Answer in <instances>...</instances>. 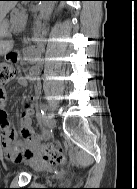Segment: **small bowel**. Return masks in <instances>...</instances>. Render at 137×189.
<instances>
[{
	"instance_id": "small-bowel-1",
	"label": "small bowel",
	"mask_w": 137,
	"mask_h": 189,
	"mask_svg": "<svg viewBox=\"0 0 137 189\" xmlns=\"http://www.w3.org/2000/svg\"><path fill=\"white\" fill-rule=\"evenodd\" d=\"M38 74L39 68L33 67L26 76L19 77L18 82L24 85L28 81H35L38 78ZM7 99V92L0 89V141L4 155L15 163L31 160L41 162L39 156L32 149L37 136L32 126L33 111H31L30 105L37 102V93L30 97L21 111L22 127L20 137L18 132L10 125L6 112Z\"/></svg>"
}]
</instances>
